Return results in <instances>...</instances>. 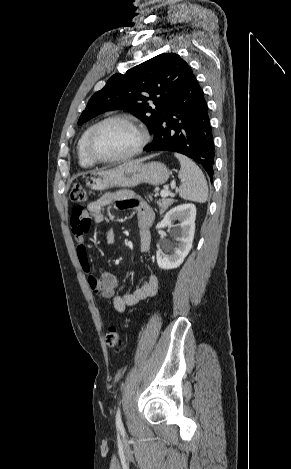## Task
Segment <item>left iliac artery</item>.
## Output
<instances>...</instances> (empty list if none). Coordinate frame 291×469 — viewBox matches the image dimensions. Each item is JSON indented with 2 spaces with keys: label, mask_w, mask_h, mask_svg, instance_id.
<instances>
[{
  "label": "left iliac artery",
  "mask_w": 291,
  "mask_h": 469,
  "mask_svg": "<svg viewBox=\"0 0 291 469\" xmlns=\"http://www.w3.org/2000/svg\"><path fill=\"white\" fill-rule=\"evenodd\" d=\"M116 426H117L118 428H122V427H123L122 420H121V413H120V409H119V408H118L117 413H116Z\"/></svg>",
  "instance_id": "left-iliac-artery-1"
}]
</instances>
